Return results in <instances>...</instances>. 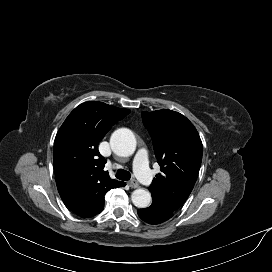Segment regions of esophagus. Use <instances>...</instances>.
Listing matches in <instances>:
<instances>
[{
  "label": "esophagus",
  "instance_id": "34e87169",
  "mask_svg": "<svg viewBox=\"0 0 272 272\" xmlns=\"http://www.w3.org/2000/svg\"><path fill=\"white\" fill-rule=\"evenodd\" d=\"M129 186H130L131 188H138V187H139V184H138V182H137L135 179H132V180H130V182H129Z\"/></svg>",
  "mask_w": 272,
  "mask_h": 272
}]
</instances>
